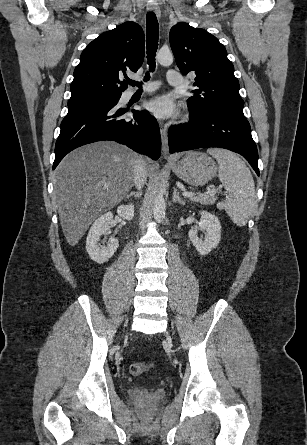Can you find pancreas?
<instances>
[{"instance_id":"pancreas-1","label":"pancreas","mask_w":307,"mask_h":445,"mask_svg":"<svg viewBox=\"0 0 307 445\" xmlns=\"http://www.w3.org/2000/svg\"><path fill=\"white\" fill-rule=\"evenodd\" d=\"M191 200L200 202V204H214L217 198L214 194H202V192H197V196H191Z\"/></svg>"}]
</instances>
